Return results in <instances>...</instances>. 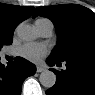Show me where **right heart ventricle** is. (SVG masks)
I'll return each instance as SVG.
<instances>
[{
  "label": "right heart ventricle",
  "mask_w": 95,
  "mask_h": 95,
  "mask_svg": "<svg viewBox=\"0 0 95 95\" xmlns=\"http://www.w3.org/2000/svg\"><path fill=\"white\" fill-rule=\"evenodd\" d=\"M48 21L47 19H38L36 22Z\"/></svg>",
  "instance_id": "e07e8e85"
}]
</instances>
